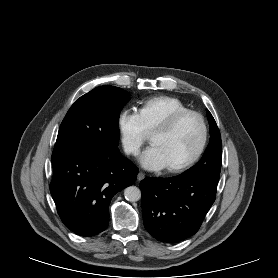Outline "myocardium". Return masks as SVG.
Here are the masks:
<instances>
[{"label": "myocardium", "instance_id": "1", "mask_svg": "<svg viewBox=\"0 0 278 278\" xmlns=\"http://www.w3.org/2000/svg\"><path fill=\"white\" fill-rule=\"evenodd\" d=\"M187 117L196 118L201 126V139L196 151L186 160L171 166H167V171L171 173H178L184 171L194 165L200 157L203 155L205 148L207 146L209 131L205 118L199 112L193 110H187L183 112L176 113L169 119L158 125L152 130L151 135L154 133H167L172 131L183 119Z\"/></svg>", "mask_w": 278, "mask_h": 278}]
</instances>
